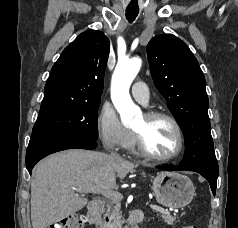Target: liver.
<instances>
[{
  "label": "liver",
  "instance_id": "obj_1",
  "mask_svg": "<svg viewBox=\"0 0 238 228\" xmlns=\"http://www.w3.org/2000/svg\"><path fill=\"white\" fill-rule=\"evenodd\" d=\"M136 167L119 156L82 149L43 159L35 166L31 181L33 228H47L74 214L88 202L78 193L94 188L112 191L117 187L116 178L123 179Z\"/></svg>",
  "mask_w": 238,
  "mask_h": 228
}]
</instances>
